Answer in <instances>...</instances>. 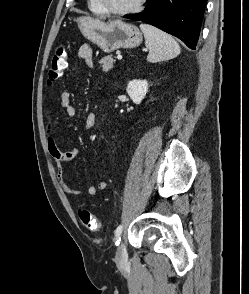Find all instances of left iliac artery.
I'll return each instance as SVG.
<instances>
[{
  "label": "left iliac artery",
  "instance_id": "1",
  "mask_svg": "<svg viewBox=\"0 0 249 294\" xmlns=\"http://www.w3.org/2000/svg\"><path fill=\"white\" fill-rule=\"evenodd\" d=\"M123 226L119 225L116 230H115V236H114V241L115 245L118 246L121 241V234H122Z\"/></svg>",
  "mask_w": 249,
  "mask_h": 294
}]
</instances>
